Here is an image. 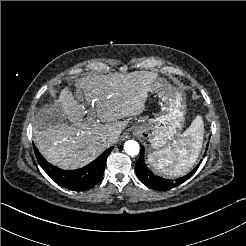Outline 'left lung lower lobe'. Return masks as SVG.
<instances>
[{
    "label": "left lung lower lobe",
    "mask_w": 246,
    "mask_h": 246,
    "mask_svg": "<svg viewBox=\"0 0 246 246\" xmlns=\"http://www.w3.org/2000/svg\"><path fill=\"white\" fill-rule=\"evenodd\" d=\"M199 166V164H198ZM198 166L187 176L179 178L175 181L163 179L159 176H156L152 171L148 169L144 161V147L141 146V154L138 161L135 163V171L138 178L148 187L156 190H167L175 186L182 184L186 181L196 170Z\"/></svg>",
    "instance_id": "obj_1"
}]
</instances>
